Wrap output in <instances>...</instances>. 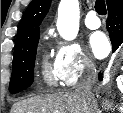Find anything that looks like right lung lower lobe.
Instances as JSON below:
<instances>
[{
	"mask_svg": "<svg viewBox=\"0 0 123 113\" xmlns=\"http://www.w3.org/2000/svg\"><path fill=\"white\" fill-rule=\"evenodd\" d=\"M107 6V30L114 52L123 43V0H110ZM99 80H102L101 73H99Z\"/></svg>",
	"mask_w": 123,
	"mask_h": 113,
	"instance_id": "98d812e1",
	"label": "right lung lower lobe"
}]
</instances>
